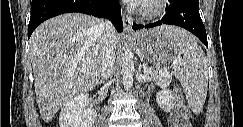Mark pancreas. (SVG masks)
<instances>
[{
    "mask_svg": "<svg viewBox=\"0 0 243 127\" xmlns=\"http://www.w3.org/2000/svg\"><path fill=\"white\" fill-rule=\"evenodd\" d=\"M150 72L146 75H148L150 78H152L158 85L161 87H166L171 83V77L163 75L158 69L150 68Z\"/></svg>",
    "mask_w": 243,
    "mask_h": 127,
    "instance_id": "cf45deb5",
    "label": "pancreas"
}]
</instances>
